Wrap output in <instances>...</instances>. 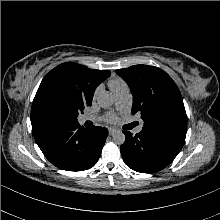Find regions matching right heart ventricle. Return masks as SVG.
Returning <instances> with one entry per match:
<instances>
[{
    "label": "right heart ventricle",
    "instance_id": "obj_1",
    "mask_svg": "<svg viewBox=\"0 0 220 220\" xmlns=\"http://www.w3.org/2000/svg\"><path fill=\"white\" fill-rule=\"evenodd\" d=\"M124 85L126 84L119 78H113L109 81V87L112 90V92H114L115 90H117L118 88Z\"/></svg>",
    "mask_w": 220,
    "mask_h": 220
}]
</instances>
